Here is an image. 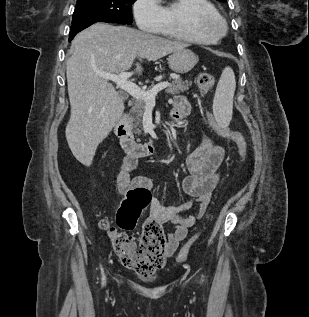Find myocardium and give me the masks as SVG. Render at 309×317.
I'll return each instance as SVG.
<instances>
[{
  "label": "myocardium",
  "mask_w": 309,
  "mask_h": 317,
  "mask_svg": "<svg viewBox=\"0 0 309 317\" xmlns=\"http://www.w3.org/2000/svg\"><path fill=\"white\" fill-rule=\"evenodd\" d=\"M189 26L196 34L215 38L222 37L227 30L225 19L207 10L193 11L189 17Z\"/></svg>",
  "instance_id": "myocardium-1"
}]
</instances>
